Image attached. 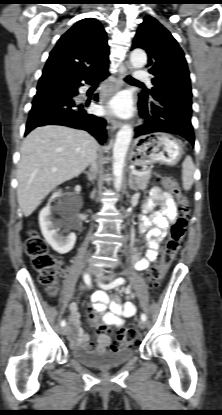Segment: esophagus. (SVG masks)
<instances>
[{
    "instance_id": "esophagus-1",
    "label": "esophagus",
    "mask_w": 222,
    "mask_h": 415,
    "mask_svg": "<svg viewBox=\"0 0 222 415\" xmlns=\"http://www.w3.org/2000/svg\"><path fill=\"white\" fill-rule=\"evenodd\" d=\"M131 70V66L127 63L124 68L120 71L119 77L122 78L126 73ZM108 126L111 129H118L122 126V122L117 120L115 117L110 116L107 118Z\"/></svg>"
}]
</instances>
